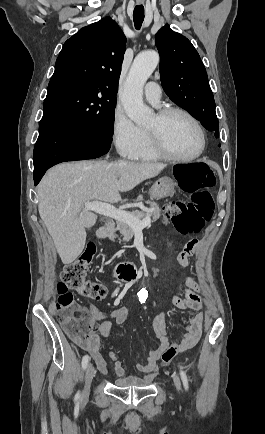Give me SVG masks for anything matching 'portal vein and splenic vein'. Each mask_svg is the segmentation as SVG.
<instances>
[{"label": "portal vein and splenic vein", "instance_id": "1", "mask_svg": "<svg viewBox=\"0 0 265 434\" xmlns=\"http://www.w3.org/2000/svg\"><path fill=\"white\" fill-rule=\"evenodd\" d=\"M143 208V206H140ZM84 210H92L96 214H102V216H108V218H113V220H118V222H126L129 224L133 230H144L146 226H150V218H145V220H139L130 212H125V210H117L111 204H104V202H85Z\"/></svg>", "mask_w": 265, "mask_h": 434}]
</instances>
